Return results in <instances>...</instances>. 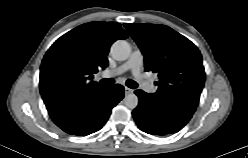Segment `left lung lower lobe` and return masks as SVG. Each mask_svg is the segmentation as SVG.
Masks as SVG:
<instances>
[{"instance_id": "obj_1", "label": "left lung lower lobe", "mask_w": 248, "mask_h": 158, "mask_svg": "<svg viewBox=\"0 0 248 158\" xmlns=\"http://www.w3.org/2000/svg\"><path fill=\"white\" fill-rule=\"evenodd\" d=\"M139 105L132 112L138 127L153 135L176 133L191 119L193 112L183 108L165 105L152 94L136 90Z\"/></svg>"}]
</instances>
